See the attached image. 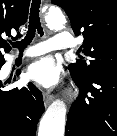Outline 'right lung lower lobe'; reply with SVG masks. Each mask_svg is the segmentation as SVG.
<instances>
[{
  "label": "right lung lower lobe",
  "mask_w": 117,
  "mask_h": 136,
  "mask_svg": "<svg viewBox=\"0 0 117 136\" xmlns=\"http://www.w3.org/2000/svg\"><path fill=\"white\" fill-rule=\"evenodd\" d=\"M4 63L0 61V68ZM10 82L0 80V136H35L44 112L42 93L32 83L21 89H7Z\"/></svg>",
  "instance_id": "obj_1"
}]
</instances>
